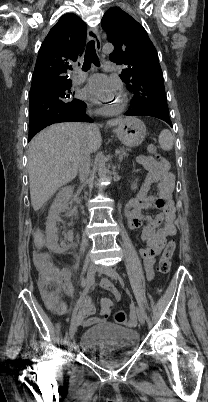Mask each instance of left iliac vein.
Returning <instances> with one entry per match:
<instances>
[{
	"instance_id": "obj_1",
	"label": "left iliac vein",
	"mask_w": 208,
	"mask_h": 402,
	"mask_svg": "<svg viewBox=\"0 0 208 402\" xmlns=\"http://www.w3.org/2000/svg\"><path fill=\"white\" fill-rule=\"evenodd\" d=\"M97 270H98L99 272H101V273H103V274L109 276L110 278H112V279H114V280H118L119 282H122V279H121L120 275H119L118 272H117L114 268H112V267H109V266H99V267L97 268ZM136 313H137V317H138L139 322L143 325V324L145 323V316H144L143 311H142L139 307H137V308H136Z\"/></svg>"
}]
</instances>
